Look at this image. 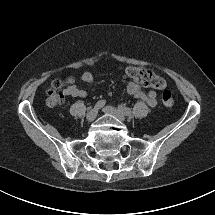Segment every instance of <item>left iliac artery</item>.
<instances>
[{
    "label": "left iliac artery",
    "instance_id": "1",
    "mask_svg": "<svg viewBox=\"0 0 215 215\" xmlns=\"http://www.w3.org/2000/svg\"><path fill=\"white\" fill-rule=\"evenodd\" d=\"M118 109L121 111V112H123L124 114H126V115H131V113H132V110L130 109V108H128V107H125V106H123V105H119L118 106Z\"/></svg>",
    "mask_w": 215,
    "mask_h": 215
}]
</instances>
